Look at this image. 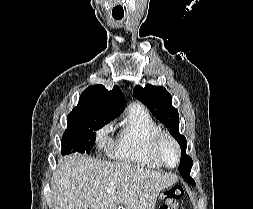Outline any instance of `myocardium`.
Returning <instances> with one entry per match:
<instances>
[{
    "label": "myocardium",
    "instance_id": "f54148a6",
    "mask_svg": "<svg viewBox=\"0 0 253 209\" xmlns=\"http://www.w3.org/2000/svg\"><path fill=\"white\" fill-rule=\"evenodd\" d=\"M164 139H168L170 140L175 148H176V152H177V162L175 165H168L161 153H160V146L163 142ZM149 152H150V155L163 167L165 168H168V169H173V168H176L180 161H181V148H180V145L178 143V141L175 139V137L167 132V131H162L160 130L152 139L151 143H150V147H149Z\"/></svg>",
    "mask_w": 253,
    "mask_h": 209
}]
</instances>
